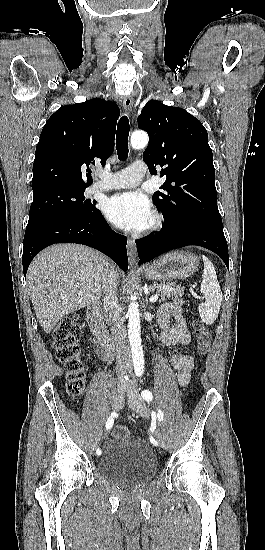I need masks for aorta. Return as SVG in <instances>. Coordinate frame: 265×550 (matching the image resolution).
Here are the masks:
<instances>
[{
    "label": "aorta",
    "instance_id": "obj_1",
    "mask_svg": "<svg viewBox=\"0 0 265 550\" xmlns=\"http://www.w3.org/2000/svg\"><path fill=\"white\" fill-rule=\"evenodd\" d=\"M148 140V135L145 132H134L131 135V146L134 149H141L148 144ZM127 317L133 365L135 372L140 375L144 372V355L141 344L140 313L137 303L132 302L129 305Z\"/></svg>",
    "mask_w": 265,
    "mask_h": 550
}]
</instances>
